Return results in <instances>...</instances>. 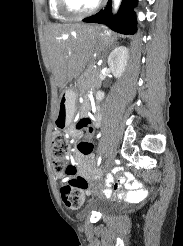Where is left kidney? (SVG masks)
I'll list each match as a JSON object with an SVG mask.
<instances>
[{
  "label": "left kidney",
  "mask_w": 183,
  "mask_h": 246,
  "mask_svg": "<svg viewBox=\"0 0 183 246\" xmlns=\"http://www.w3.org/2000/svg\"><path fill=\"white\" fill-rule=\"evenodd\" d=\"M128 60V49L124 46L116 47L108 57V65L112 74L116 78H120L125 71ZM105 94L102 91H98L96 94V100H103Z\"/></svg>",
  "instance_id": "left-kidney-1"
}]
</instances>
